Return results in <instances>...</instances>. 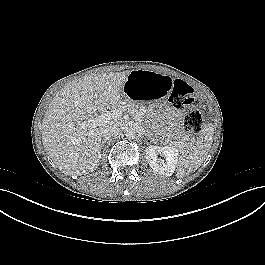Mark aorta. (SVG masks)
Wrapping results in <instances>:
<instances>
[{
    "label": "aorta",
    "instance_id": "obj_1",
    "mask_svg": "<svg viewBox=\"0 0 265 265\" xmlns=\"http://www.w3.org/2000/svg\"><path fill=\"white\" fill-rule=\"evenodd\" d=\"M136 134V130L134 127L132 126H127L125 127L124 129V135L127 137V138H133Z\"/></svg>",
    "mask_w": 265,
    "mask_h": 265
}]
</instances>
